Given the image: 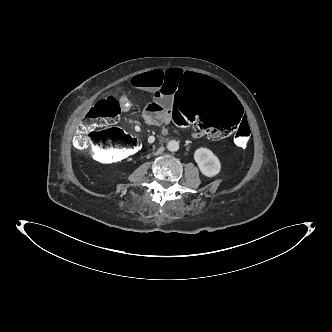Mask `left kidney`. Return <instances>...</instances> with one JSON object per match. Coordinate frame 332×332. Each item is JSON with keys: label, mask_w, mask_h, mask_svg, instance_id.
Returning a JSON list of instances; mask_svg holds the SVG:
<instances>
[{"label": "left kidney", "mask_w": 332, "mask_h": 332, "mask_svg": "<svg viewBox=\"0 0 332 332\" xmlns=\"http://www.w3.org/2000/svg\"><path fill=\"white\" fill-rule=\"evenodd\" d=\"M194 159L201 173L206 177H214L221 171L219 158L208 148H198L194 152Z\"/></svg>", "instance_id": "1"}]
</instances>
